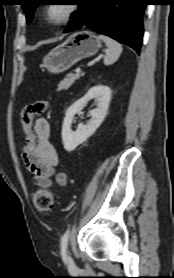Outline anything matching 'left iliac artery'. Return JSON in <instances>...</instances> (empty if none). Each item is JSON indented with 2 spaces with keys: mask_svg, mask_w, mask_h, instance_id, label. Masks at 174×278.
<instances>
[{
  "mask_svg": "<svg viewBox=\"0 0 174 278\" xmlns=\"http://www.w3.org/2000/svg\"><path fill=\"white\" fill-rule=\"evenodd\" d=\"M69 235H70V231L67 230L61 238V249L63 252H65L66 250Z\"/></svg>",
  "mask_w": 174,
  "mask_h": 278,
  "instance_id": "left-iliac-artery-1",
  "label": "left iliac artery"
}]
</instances>
